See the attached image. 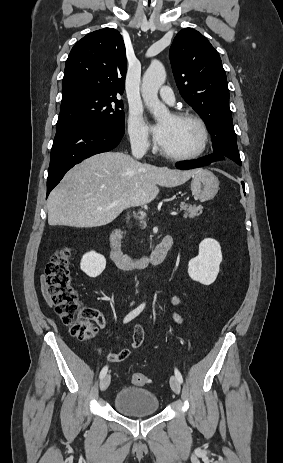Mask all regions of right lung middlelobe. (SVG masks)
Returning a JSON list of instances; mask_svg holds the SVG:
<instances>
[{"label":"right lung middle lobe","instance_id":"right-lung-middle-lobe-1","mask_svg":"<svg viewBox=\"0 0 283 463\" xmlns=\"http://www.w3.org/2000/svg\"><path fill=\"white\" fill-rule=\"evenodd\" d=\"M123 103L118 96L90 94L61 104L56 131L82 124H98L124 131Z\"/></svg>","mask_w":283,"mask_h":463}]
</instances>
